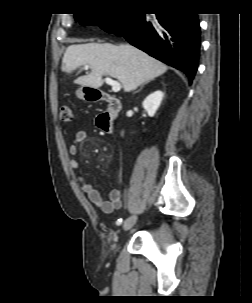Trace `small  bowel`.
<instances>
[{
    "label": "small bowel",
    "instance_id": "1",
    "mask_svg": "<svg viewBox=\"0 0 252 303\" xmlns=\"http://www.w3.org/2000/svg\"><path fill=\"white\" fill-rule=\"evenodd\" d=\"M97 126L102 129L100 122H97ZM103 130V129H102ZM88 139V133L86 131H78L72 143L69 146L70 160L69 165L73 173H75L76 180L81 190L87 195L90 203L101 209L105 213H111L118 209L121 205L122 191L119 188L113 189L110 192V198L108 201H104L100 192L83 176L79 173L80 165L75 158L78 152V145L85 142Z\"/></svg>",
    "mask_w": 252,
    "mask_h": 303
}]
</instances>
